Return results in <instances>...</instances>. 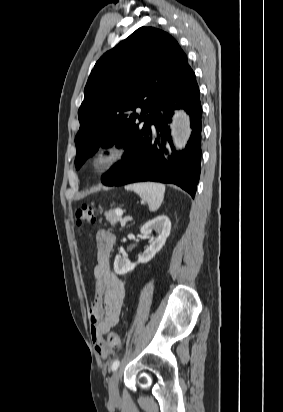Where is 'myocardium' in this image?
Wrapping results in <instances>:
<instances>
[{
	"label": "myocardium",
	"mask_w": 283,
	"mask_h": 412,
	"mask_svg": "<svg viewBox=\"0 0 283 412\" xmlns=\"http://www.w3.org/2000/svg\"><path fill=\"white\" fill-rule=\"evenodd\" d=\"M127 150L118 142L98 147L90 156L89 165L96 174H103L117 166L126 156Z\"/></svg>",
	"instance_id": "f54148a6"
}]
</instances>
